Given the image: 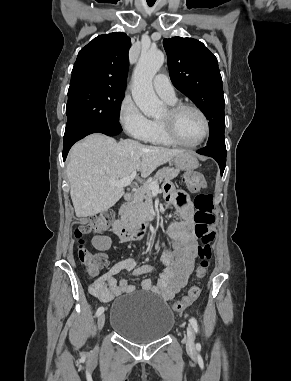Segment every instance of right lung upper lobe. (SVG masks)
Masks as SVG:
<instances>
[{
    "instance_id": "1",
    "label": "right lung upper lobe",
    "mask_w": 291,
    "mask_h": 381,
    "mask_svg": "<svg viewBox=\"0 0 291 381\" xmlns=\"http://www.w3.org/2000/svg\"><path fill=\"white\" fill-rule=\"evenodd\" d=\"M130 46V38L122 32L94 38L79 51L70 85L90 84L125 88Z\"/></svg>"
}]
</instances>
